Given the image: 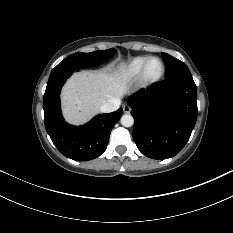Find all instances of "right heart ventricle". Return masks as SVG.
I'll return each mask as SVG.
<instances>
[{
    "instance_id": "1",
    "label": "right heart ventricle",
    "mask_w": 233,
    "mask_h": 233,
    "mask_svg": "<svg viewBox=\"0 0 233 233\" xmlns=\"http://www.w3.org/2000/svg\"><path fill=\"white\" fill-rule=\"evenodd\" d=\"M148 58V56H138L130 60L121 68V77L125 80L136 79L139 76L144 63Z\"/></svg>"
}]
</instances>
